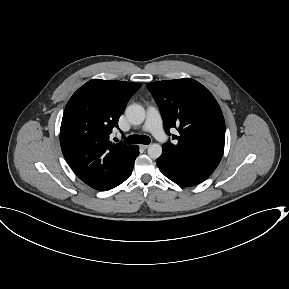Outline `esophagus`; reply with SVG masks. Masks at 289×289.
<instances>
[{
  "label": "esophagus",
  "mask_w": 289,
  "mask_h": 289,
  "mask_svg": "<svg viewBox=\"0 0 289 289\" xmlns=\"http://www.w3.org/2000/svg\"><path fill=\"white\" fill-rule=\"evenodd\" d=\"M150 145H147V144H140V147L143 148V149H147Z\"/></svg>",
  "instance_id": "1"
}]
</instances>
